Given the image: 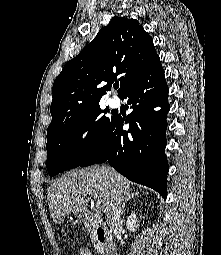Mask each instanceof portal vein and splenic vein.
<instances>
[{
    "label": "portal vein and splenic vein",
    "instance_id": "18ae733b",
    "mask_svg": "<svg viewBox=\"0 0 221 255\" xmlns=\"http://www.w3.org/2000/svg\"><path fill=\"white\" fill-rule=\"evenodd\" d=\"M93 196H94L95 199H98V196H97L96 194H94ZM96 207H97L98 209L102 208V203H101V201L97 200V202H96Z\"/></svg>",
    "mask_w": 221,
    "mask_h": 255
}]
</instances>
